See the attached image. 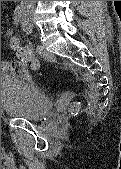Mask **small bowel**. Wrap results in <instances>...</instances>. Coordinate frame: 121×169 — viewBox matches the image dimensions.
I'll return each mask as SVG.
<instances>
[{"instance_id": "c3829d8e", "label": "small bowel", "mask_w": 121, "mask_h": 169, "mask_svg": "<svg viewBox=\"0 0 121 169\" xmlns=\"http://www.w3.org/2000/svg\"><path fill=\"white\" fill-rule=\"evenodd\" d=\"M1 69L3 72L17 74L24 78L30 77L29 70L26 64L22 61H3Z\"/></svg>"}]
</instances>
